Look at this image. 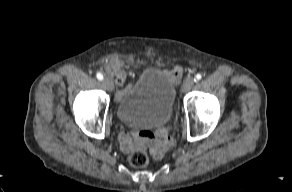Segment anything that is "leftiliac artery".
<instances>
[{
    "instance_id": "left-iliac-artery-1",
    "label": "left iliac artery",
    "mask_w": 292,
    "mask_h": 192,
    "mask_svg": "<svg viewBox=\"0 0 292 192\" xmlns=\"http://www.w3.org/2000/svg\"><path fill=\"white\" fill-rule=\"evenodd\" d=\"M201 78H202V75L198 73V74L195 76L194 81L197 82V81H199Z\"/></svg>"
}]
</instances>
